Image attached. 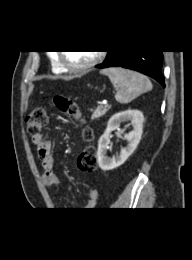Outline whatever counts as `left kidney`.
I'll list each match as a JSON object with an SVG mask.
<instances>
[{
  "label": "left kidney",
  "instance_id": "1",
  "mask_svg": "<svg viewBox=\"0 0 192 260\" xmlns=\"http://www.w3.org/2000/svg\"><path fill=\"white\" fill-rule=\"evenodd\" d=\"M130 121L132 130L125 135L128 145L121 149L120 153L112 158L107 156L111 132L118 129L121 122ZM144 115L139 110H126L114 114L108 121L104 134L98 141L97 159L99 167L103 171L112 170L122 165L137 148L143 132Z\"/></svg>",
  "mask_w": 192,
  "mask_h": 260
}]
</instances>
